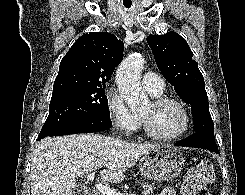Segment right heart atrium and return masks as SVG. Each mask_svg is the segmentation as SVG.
<instances>
[{
  "label": "right heart atrium",
  "instance_id": "1",
  "mask_svg": "<svg viewBox=\"0 0 245 195\" xmlns=\"http://www.w3.org/2000/svg\"><path fill=\"white\" fill-rule=\"evenodd\" d=\"M105 97L108 117L114 129L124 135L133 134L140 124L139 116L128 108L117 90L107 91Z\"/></svg>",
  "mask_w": 245,
  "mask_h": 195
}]
</instances>
